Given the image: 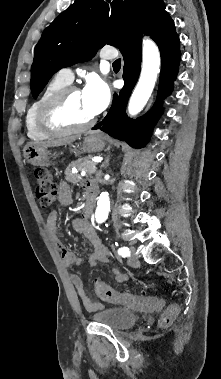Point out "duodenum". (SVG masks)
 I'll use <instances>...</instances> for the list:
<instances>
[{"label":"duodenum","mask_w":221,"mask_h":379,"mask_svg":"<svg viewBox=\"0 0 221 379\" xmlns=\"http://www.w3.org/2000/svg\"><path fill=\"white\" fill-rule=\"evenodd\" d=\"M87 200L84 206V214L91 216L95 208V200L97 195V188L94 184H90L87 187Z\"/></svg>","instance_id":"obj_1"}]
</instances>
